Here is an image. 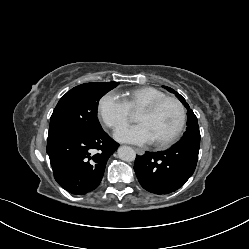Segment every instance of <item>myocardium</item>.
I'll use <instances>...</instances> for the list:
<instances>
[{
    "instance_id": "myocardium-1",
    "label": "myocardium",
    "mask_w": 249,
    "mask_h": 249,
    "mask_svg": "<svg viewBox=\"0 0 249 249\" xmlns=\"http://www.w3.org/2000/svg\"><path fill=\"white\" fill-rule=\"evenodd\" d=\"M167 101L175 102L177 104V106L179 107L180 122H179L177 128L175 129V131L169 137H167L166 139L160 140V141H154V144L158 148H166V147L171 146L172 144H174L178 140L179 136L181 135V133L185 127L186 119H187V112H186V108H185L184 104L176 97L165 96V97L159 98V99L143 106L138 111V112L152 113L160 105H162L164 102H167Z\"/></svg>"
}]
</instances>
